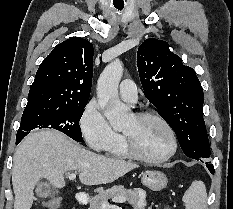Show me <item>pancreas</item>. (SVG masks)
<instances>
[{"mask_svg": "<svg viewBox=\"0 0 233 209\" xmlns=\"http://www.w3.org/2000/svg\"><path fill=\"white\" fill-rule=\"evenodd\" d=\"M142 193L139 189H126L124 186L117 185L109 189L102 190L98 195L94 196L90 201L89 209H102L104 203H108L110 198H124L134 209H145L146 200L142 198Z\"/></svg>", "mask_w": 233, "mask_h": 209, "instance_id": "pancreas-1", "label": "pancreas"}]
</instances>
